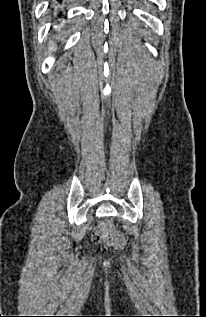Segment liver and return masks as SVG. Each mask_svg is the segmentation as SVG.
<instances>
[{"label":"liver","mask_w":206,"mask_h":317,"mask_svg":"<svg viewBox=\"0 0 206 317\" xmlns=\"http://www.w3.org/2000/svg\"><path fill=\"white\" fill-rule=\"evenodd\" d=\"M56 47V44L52 41L48 46L47 54L54 52L56 50Z\"/></svg>","instance_id":"6515ba94"}]
</instances>
